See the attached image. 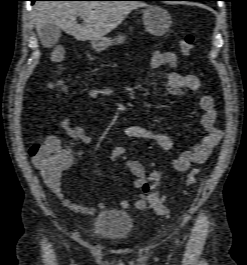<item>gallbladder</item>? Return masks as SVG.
<instances>
[{
    "label": "gallbladder",
    "instance_id": "obj_1",
    "mask_svg": "<svg viewBox=\"0 0 247 265\" xmlns=\"http://www.w3.org/2000/svg\"><path fill=\"white\" fill-rule=\"evenodd\" d=\"M61 37V29L54 24H46L39 33L41 44L46 48L54 47Z\"/></svg>",
    "mask_w": 247,
    "mask_h": 265
}]
</instances>
